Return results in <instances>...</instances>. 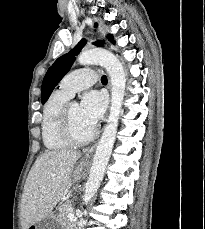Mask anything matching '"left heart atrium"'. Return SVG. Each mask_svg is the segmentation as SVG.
Returning a JSON list of instances; mask_svg holds the SVG:
<instances>
[{
	"label": "left heart atrium",
	"mask_w": 205,
	"mask_h": 229,
	"mask_svg": "<svg viewBox=\"0 0 205 229\" xmlns=\"http://www.w3.org/2000/svg\"><path fill=\"white\" fill-rule=\"evenodd\" d=\"M79 106L85 121L94 127L104 114L106 97L99 91H89L84 94Z\"/></svg>",
	"instance_id": "left-heart-atrium-1"
}]
</instances>
